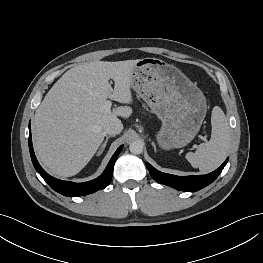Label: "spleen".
Listing matches in <instances>:
<instances>
[{"instance_id":"1","label":"spleen","mask_w":263,"mask_h":263,"mask_svg":"<svg viewBox=\"0 0 263 263\" xmlns=\"http://www.w3.org/2000/svg\"><path fill=\"white\" fill-rule=\"evenodd\" d=\"M211 139L201 143L195 153L186 154L192 167L199 168L201 173H209L218 168L226 158L230 146V127L227 118L218 106L211 115Z\"/></svg>"}]
</instances>
